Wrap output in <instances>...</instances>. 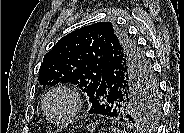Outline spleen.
Instances as JSON below:
<instances>
[{
    "label": "spleen",
    "mask_w": 184,
    "mask_h": 133,
    "mask_svg": "<svg viewBox=\"0 0 184 133\" xmlns=\"http://www.w3.org/2000/svg\"><path fill=\"white\" fill-rule=\"evenodd\" d=\"M114 132H115V133H116V132L120 133V130L114 129ZM121 133H122V131H121Z\"/></svg>",
    "instance_id": "obj_1"
}]
</instances>
